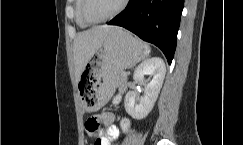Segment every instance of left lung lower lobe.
<instances>
[{
	"mask_svg": "<svg viewBox=\"0 0 243 145\" xmlns=\"http://www.w3.org/2000/svg\"><path fill=\"white\" fill-rule=\"evenodd\" d=\"M184 0H129L109 25L122 26L159 47L171 64Z\"/></svg>",
	"mask_w": 243,
	"mask_h": 145,
	"instance_id": "left-lung-lower-lobe-1",
	"label": "left lung lower lobe"
}]
</instances>
